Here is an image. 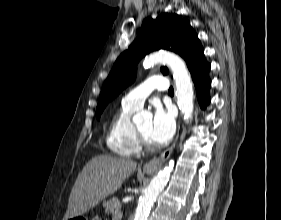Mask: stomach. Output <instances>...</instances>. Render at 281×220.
<instances>
[{
    "label": "stomach",
    "mask_w": 281,
    "mask_h": 220,
    "mask_svg": "<svg viewBox=\"0 0 281 220\" xmlns=\"http://www.w3.org/2000/svg\"><path fill=\"white\" fill-rule=\"evenodd\" d=\"M147 173H149V172H147ZM83 217H74V218H72L73 220H81Z\"/></svg>",
    "instance_id": "1"
}]
</instances>
